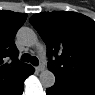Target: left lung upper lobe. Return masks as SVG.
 I'll return each instance as SVG.
<instances>
[{
    "label": "left lung upper lobe",
    "mask_w": 95,
    "mask_h": 95,
    "mask_svg": "<svg viewBox=\"0 0 95 95\" xmlns=\"http://www.w3.org/2000/svg\"><path fill=\"white\" fill-rule=\"evenodd\" d=\"M30 23L46 43L54 59L48 69L55 77H71L95 83V23L75 12H43Z\"/></svg>",
    "instance_id": "obj_1"
}]
</instances>
